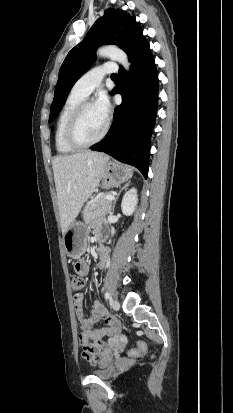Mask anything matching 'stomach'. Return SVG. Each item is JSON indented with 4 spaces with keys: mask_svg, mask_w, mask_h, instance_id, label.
Returning a JSON list of instances; mask_svg holds the SVG:
<instances>
[{
    "mask_svg": "<svg viewBox=\"0 0 233 413\" xmlns=\"http://www.w3.org/2000/svg\"><path fill=\"white\" fill-rule=\"evenodd\" d=\"M133 175V170L125 165L107 162L102 177V187L111 189L128 181ZM88 228L82 222L72 223L63 234V243L66 254L71 258H78L85 252V241Z\"/></svg>",
    "mask_w": 233,
    "mask_h": 413,
    "instance_id": "0dacf381",
    "label": "stomach"
}]
</instances>
